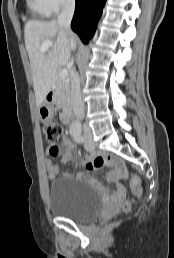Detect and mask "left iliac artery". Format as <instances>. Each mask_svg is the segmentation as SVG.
Listing matches in <instances>:
<instances>
[{
  "instance_id": "left-iliac-artery-1",
  "label": "left iliac artery",
  "mask_w": 174,
  "mask_h": 258,
  "mask_svg": "<svg viewBox=\"0 0 174 258\" xmlns=\"http://www.w3.org/2000/svg\"><path fill=\"white\" fill-rule=\"evenodd\" d=\"M72 136L77 143L84 142V137L81 135V130H77L75 133L72 134Z\"/></svg>"
}]
</instances>
